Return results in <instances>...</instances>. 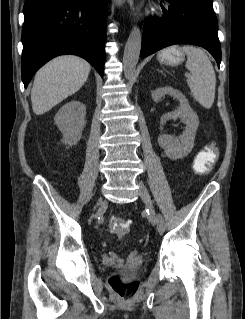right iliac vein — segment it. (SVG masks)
Instances as JSON below:
<instances>
[{"label":"right iliac vein","instance_id":"right-iliac-vein-1","mask_svg":"<svg viewBox=\"0 0 245 319\" xmlns=\"http://www.w3.org/2000/svg\"><path fill=\"white\" fill-rule=\"evenodd\" d=\"M104 205V201L102 200V198L100 197L97 201V206H103Z\"/></svg>","mask_w":245,"mask_h":319}]
</instances>
